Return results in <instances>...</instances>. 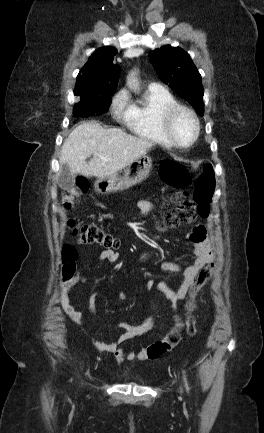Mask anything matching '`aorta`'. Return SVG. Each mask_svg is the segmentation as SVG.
I'll list each match as a JSON object with an SVG mask.
<instances>
[{"label":"aorta","mask_w":264,"mask_h":433,"mask_svg":"<svg viewBox=\"0 0 264 433\" xmlns=\"http://www.w3.org/2000/svg\"><path fill=\"white\" fill-rule=\"evenodd\" d=\"M132 82H134V79H133V78L131 77V78H129V79H128V84H130V85H131V84H132Z\"/></svg>","instance_id":"obj_1"}]
</instances>
